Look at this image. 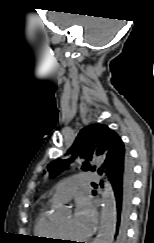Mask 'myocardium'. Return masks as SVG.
I'll return each mask as SVG.
<instances>
[{"instance_id": "1", "label": "myocardium", "mask_w": 154, "mask_h": 243, "mask_svg": "<svg viewBox=\"0 0 154 243\" xmlns=\"http://www.w3.org/2000/svg\"><path fill=\"white\" fill-rule=\"evenodd\" d=\"M56 233L57 236L60 240L64 241L65 239H67V236L62 232V230L60 229V227L56 224Z\"/></svg>"}]
</instances>
